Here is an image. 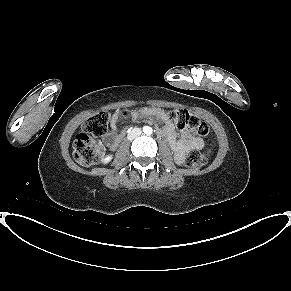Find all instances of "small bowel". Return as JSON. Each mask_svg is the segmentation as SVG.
I'll return each mask as SVG.
<instances>
[{"label":"small bowel","mask_w":291,"mask_h":291,"mask_svg":"<svg viewBox=\"0 0 291 291\" xmlns=\"http://www.w3.org/2000/svg\"><path fill=\"white\" fill-rule=\"evenodd\" d=\"M122 115L121 111H115L111 116V131L105 136V142L111 149H116L125 134V128L119 126V119ZM130 116L133 120L143 117H155L161 120L163 126L158 128V133L169 142L177 159H180L188 150L203 147L202 139L196 137L191 131L181 130L178 132L175 124L168 118L167 113L162 108L146 107L132 111Z\"/></svg>","instance_id":"small-bowel-1"}]
</instances>
